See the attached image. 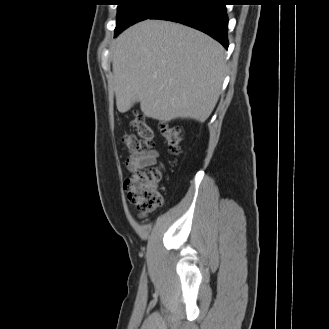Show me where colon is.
Masks as SVG:
<instances>
[{"mask_svg":"<svg viewBox=\"0 0 329 329\" xmlns=\"http://www.w3.org/2000/svg\"><path fill=\"white\" fill-rule=\"evenodd\" d=\"M131 124L137 130V135L124 134L122 143L130 152H141L153 145L154 129L148 125L142 116L134 114ZM161 134L168 146L169 152L177 155L181 151L182 136L178 126L171 123L161 125ZM161 177V167L137 169L133 171L124 183L128 199L142 212H151L162 205V197L157 190Z\"/></svg>","mask_w":329,"mask_h":329,"instance_id":"colon-1","label":"colon"}]
</instances>
